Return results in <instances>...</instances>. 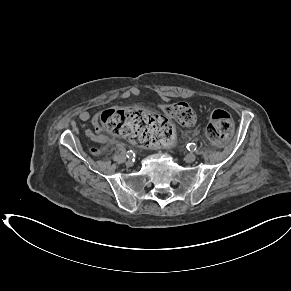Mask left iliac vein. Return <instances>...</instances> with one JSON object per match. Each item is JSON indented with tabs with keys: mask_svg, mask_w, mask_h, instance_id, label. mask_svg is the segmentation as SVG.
I'll use <instances>...</instances> for the list:
<instances>
[{
	"mask_svg": "<svg viewBox=\"0 0 291 291\" xmlns=\"http://www.w3.org/2000/svg\"><path fill=\"white\" fill-rule=\"evenodd\" d=\"M196 160V155L193 154V153H188L186 156H185V161L188 162V163H192Z\"/></svg>",
	"mask_w": 291,
	"mask_h": 291,
	"instance_id": "4c4485c4",
	"label": "left iliac vein"
}]
</instances>
